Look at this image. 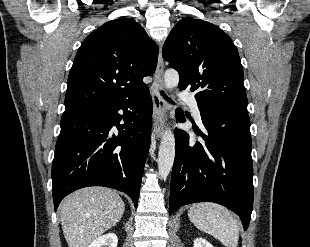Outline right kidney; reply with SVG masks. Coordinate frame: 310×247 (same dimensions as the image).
I'll use <instances>...</instances> for the list:
<instances>
[{
    "mask_svg": "<svg viewBox=\"0 0 310 247\" xmlns=\"http://www.w3.org/2000/svg\"><path fill=\"white\" fill-rule=\"evenodd\" d=\"M117 243V235L115 233H108L93 240L88 247H117Z\"/></svg>",
    "mask_w": 310,
    "mask_h": 247,
    "instance_id": "right-kidney-1",
    "label": "right kidney"
}]
</instances>
